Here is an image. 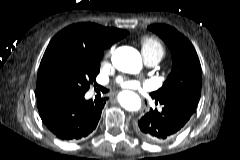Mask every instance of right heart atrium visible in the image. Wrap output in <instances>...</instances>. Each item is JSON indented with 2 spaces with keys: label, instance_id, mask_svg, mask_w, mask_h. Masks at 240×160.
I'll list each match as a JSON object with an SVG mask.
<instances>
[{
  "label": "right heart atrium",
  "instance_id": "1",
  "mask_svg": "<svg viewBox=\"0 0 240 160\" xmlns=\"http://www.w3.org/2000/svg\"><path fill=\"white\" fill-rule=\"evenodd\" d=\"M111 53H112V50H110L107 55L109 56Z\"/></svg>",
  "mask_w": 240,
  "mask_h": 160
}]
</instances>
